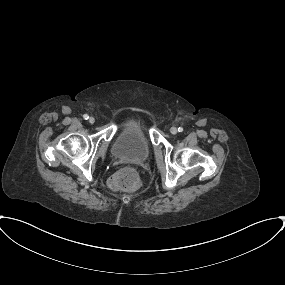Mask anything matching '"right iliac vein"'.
Wrapping results in <instances>:
<instances>
[{
  "label": "right iliac vein",
  "mask_w": 285,
  "mask_h": 285,
  "mask_svg": "<svg viewBox=\"0 0 285 285\" xmlns=\"http://www.w3.org/2000/svg\"><path fill=\"white\" fill-rule=\"evenodd\" d=\"M89 123H90V124L95 123V118H94V117H90V118H89Z\"/></svg>",
  "instance_id": "63e3f726"
}]
</instances>
